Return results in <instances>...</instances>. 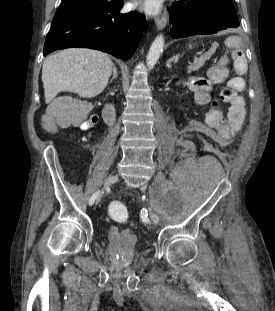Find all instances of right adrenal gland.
I'll list each match as a JSON object with an SVG mask.
<instances>
[{"instance_id": "1", "label": "right adrenal gland", "mask_w": 275, "mask_h": 311, "mask_svg": "<svg viewBox=\"0 0 275 311\" xmlns=\"http://www.w3.org/2000/svg\"><path fill=\"white\" fill-rule=\"evenodd\" d=\"M118 77V70L116 65L113 63V76L110 80V82L114 81Z\"/></svg>"}]
</instances>
